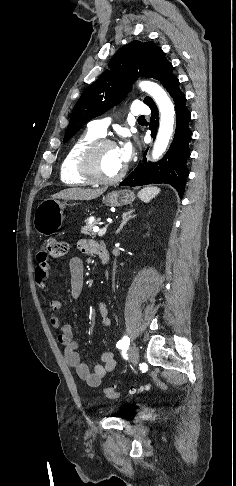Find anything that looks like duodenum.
<instances>
[{"instance_id": "obj_1", "label": "duodenum", "mask_w": 236, "mask_h": 486, "mask_svg": "<svg viewBox=\"0 0 236 486\" xmlns=\"http://www.w3.org/2000/svg\"><path fill=\"white\" fill-rule=\"evenodd\" d=\"M97 254L100 256L103 262H106L108 260V252L103 247L101 246L97 247Z\"/></svg>"}]
</instances>
